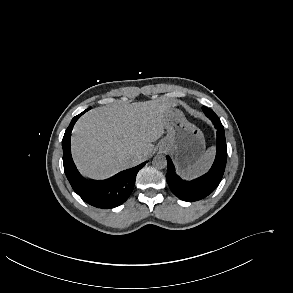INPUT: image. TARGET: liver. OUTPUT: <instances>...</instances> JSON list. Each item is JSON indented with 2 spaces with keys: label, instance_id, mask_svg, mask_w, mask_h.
<instances>
[{
  "label": "liver",
  "instance_id": "6515ba94",
  "mask_svg": "<svg viewBox=\"0 0 293 293\" xmlns=\"http://www.w3.org/2000/svg\"><path fill=\"white\" fill-rule=\"evenodd\" d=\"M175 102L150 100L91 109L76 123L71 148L80 172L103 179L147 159L164 133L165 114ZM139 155L135 160L134 156Z\"/></svg>",
  "mask_w": 293,
  "mask_h": 293
}]
</instances>
